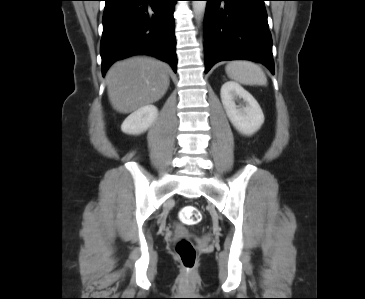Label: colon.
Returning <instances> with one entry per match:
<instances>
[{"mask_svg":"<svg viewBox=\"0 0 365 299\" xmlns=\"http://www.w3.org/2000/svg\"><path fill=\"white\" fill-rule=\"evenodd\" d=\"M180 221L188 226H196L202 220L199 209L194 205L184 206L179 212ZM175 252L186 269H191L196 261V249L188 237H181L175 245Z\"/></svg>","mask_w":365,"mask_h":299,"instance_id":"5ec220e1","label":"colon"}]
</instances>
